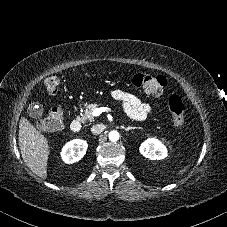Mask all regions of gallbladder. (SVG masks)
<instances>
[{"mask_svg": "<svg viewBox=\"0 0 227 227\" xmlns=\"http://www.w3.org/2000/svg\"><path fill=\"white\" fill-rule=\"evenodd\" d=\"M42 111H43V108L39 103H31L28 107V114L32 117L41 115Z\"/></svg>", "mask_w": 227, "mask_h": 227, "instance_id": "gallbladder-1", "label": "gallbladder"}]
</instances>
